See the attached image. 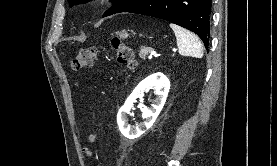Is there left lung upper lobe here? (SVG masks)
<instances>
[{
    "instance_id": "obj_1",
    "label": "left lung upper lobe",
    "mask_w": 277,
    "mask_h": 166,
    "mask_svg": "<svg viewBox=\"0 0 277 166\" xmlns=\"http://www.w3.org/2000/svg\"><path fill=\"white\" fill-rule=\"evenodd\" d=\"M68 1L70 2L71 5H73V4L88 2L90 0H68ZM112 1L114 5L104 13L103 17L125 11L130 7L134 6L135 4H137L140 0H112Z\"/></svg>"
}]
</instances>
